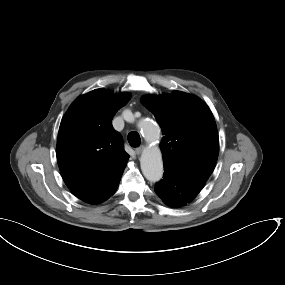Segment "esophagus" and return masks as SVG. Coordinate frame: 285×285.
Returning a JSON list of instances; mask_svg holds the SVG:
<instances>
[{
	"mask_svg": "<svg viewBox=\"0 0 285 285\" xmlns=\"http://www.w3.org/2000/svg\"><path fill=\"white\" fill-rule=\"evenodd\" d=\"M143 148H144L143 146H139V147L135 148V153H136L137 155L141 154Z\"/></svg>",
	"mask_w": 285,
	"mask_h": 285,
	"instance_id": "obj_1",
	"label": "esophagus"
}]
</instances>
